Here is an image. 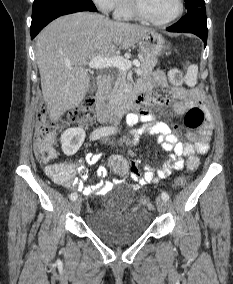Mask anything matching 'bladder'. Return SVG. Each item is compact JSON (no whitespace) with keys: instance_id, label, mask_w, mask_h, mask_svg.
<instances>
[{"instance_id":"bladder-1","label":"bladder","mask_w":233,"mask_h":284,"mask_svg":"<svg viewBox=\"0 0 233 284\" xmlns=\"http://www.w3.org/2000/svg\"><path fill=\"white\" fill-rule=\"evenodd\" d=\"M126 193L112 203H102L85 217L87 228L98 238L112 244H126L139 239L151 225V213L145 205L131 206Z\"/></svg>"}]
</instances>
